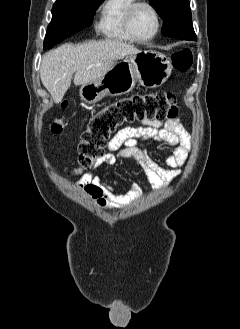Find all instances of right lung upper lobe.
Masks as SVG:
<instances>
[{
  "instance_id": "1",
  "label": "right lung upper lobe",
  "mask_w": 240,
  "mask_h": 329,
  "mask_svg": "<svg viewBox=\"0 0 240 329\" xmlns=\"http://www.w3.org/2000/svg\"><path fill=\"white\" fill-rule=\"evenodd\" d=\"M63 1H69V0H56V2H63Z\"/></svg>"
}]
</instances>
